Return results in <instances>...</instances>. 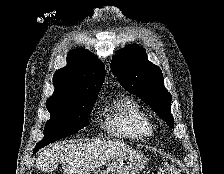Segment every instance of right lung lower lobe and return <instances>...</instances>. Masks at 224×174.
I'll return each mask as SVG.
<instances>
[{"mask_svg":"<svg viewBox=\"0 0 224 174\" xmlns=\"http://www.w3.org/2000/svg\"><path fill=\"white\" fill-rule=\"evenodd\" d=\"M38 151V149H34V152H37Z\"/></svg>","mask_w":224,"mask_h":174,"instance_id":"obj_1","label":"right lung lower lobe"}]
</instances>
